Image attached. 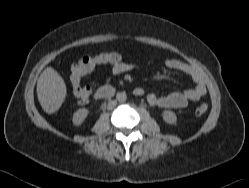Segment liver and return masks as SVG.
I'll use <instances>...</instances> for the list:
<instances>
[{
  "label": "liver",
  "instance_id": "1",
  "mask_svg": "<svg viewBox=\"0 0 249 188\" xmlns=\"http://www.w3.org/2000/svg\"><path fill=\"white\" fill-rule=\"evenodd\" d=\"M36 91L41 107L48 114L59 110L67 95L63 78L52 67L43 70L37 80Z\"/></svg>",
  "mask_w": 249,
  "mask_h": 188
}]
</instances>
